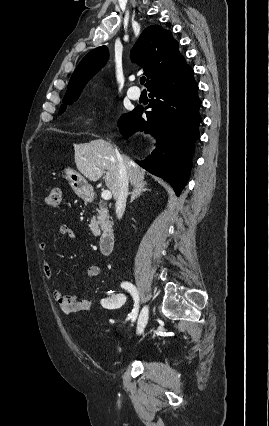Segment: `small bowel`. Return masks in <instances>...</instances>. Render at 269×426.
Here are the masks:
<instances>
[{"mask_svg": "<svg viewBox=\"0 0 269 426\" xmlns=\"http://www.w3.org/2000/svg\"><path fill=\"white\" fill-rule=\"evenodd\" d=\"M58 235L62 237H67L71 240L78 241L80 240V236L77 235L68 225L61 224L58 226ZM38 250L42 257V270L44 276L48 280L53 279V269L50 263L47 260V244L42 242L38 245ZM101 273V267L97 264H93L89 266L85 275L88 280L96 278ZM90 288V284H86L85 292L82 297L72 296L66 292H64L60 288H55L53 291V298L57 303L60 311L65 315H76L81 312L89 310L93 306V300L88 296V290ZM124 288V287H122ZM125 289V288H124Z\"/></svg>", "mask_w": 269, "mask_h": 426, "instance_id": "obj_1", "label": "small bowel"}]
</instances>
